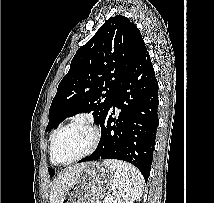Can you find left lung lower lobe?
<instances>
[{"instance_id": "1", "label": "left lung lower lobe", "mask_w": 214, "mask_h": 203, "mask_svg": "<svg viewBox=\"0 0 214 203\" xmlns=\"http://www.w3.org/2000/svg\"><path fill=\"white\" fill-rule=\"evenodd\" d=\"M158 82L149 53L144 50L117 89L101 122L96 150L79 162L118 159L136 166L148 180L159 124ZM120 110L118 118H113Z\"/></svg>"}]
</instances>
